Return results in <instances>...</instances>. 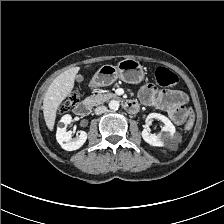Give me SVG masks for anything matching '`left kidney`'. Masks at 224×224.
Returning <instances> with one entry per match:
<instances>
[{"mask_svg":"<svg viewBox=\"0 0 224 224\" xmlns=\"http://www.w3.org/2000/svg\"><path fill=\"white\" fill-rule=\"evenodd\" d=\"M151 119H158L164 123V127L162 131L158 134H152L148 130V126L146 125L142 131V138L145 142L152 146L161 147L164 146L165 143L172 139L173 135L175 134V126L172 122L164 115L158 113H151L147 116L146 122Z\"/></svg>","mask_w":224,"mask_h":224,"instance_id":"obj_1","label":"left kidney"}]
</instances>
